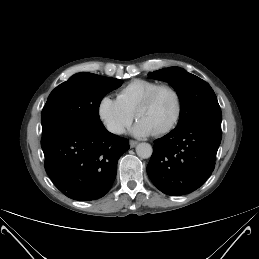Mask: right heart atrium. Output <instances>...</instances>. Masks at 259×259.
Listing matches in <instances>:
<instances>
[{
	"label": "right heart atrium",
	"mask_w": 259,
	"mask_h": 259,
	"mask_svg": "<svg viewBox=\"0 0 259 259\" xmlns=\"http://www.w3.org/2000/svg\"><path fill=\"white\" fill-rule=\"evenodd\" d=\"M98 117L113 134L123 133L133 122L134 115L127 111L117 99L104 96L98 103Z\"/></svg>",
	"instance_id": "1"
}]
</instances>
